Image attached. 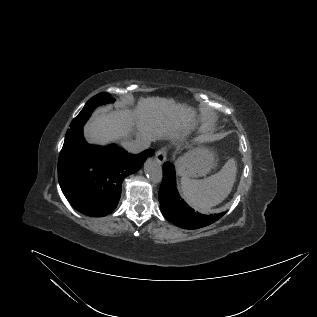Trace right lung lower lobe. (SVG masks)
<instances>
[{"label":"right lung lower lobe","mask_w":317,"mask_h":317,"mask_svg":"<svg viewBox=\"0 0 317 317\" xmlns=\"http://www.w3.org/2000/svg\"><path fill=\"white\" fill-rule=\"evenodd\" d=\"M153 153L149 149L132 155L116 145H89L81 127L65 139L59 155L61 190L77 211L93 217L106 216L118 204L124 178L138 171Z\"/></svg>","instance_id":"1"}]
</instances>
